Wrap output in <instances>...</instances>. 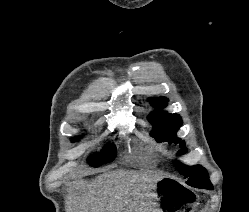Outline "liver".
Listing matches in <instances>:
<instances>
[{
	"mask_svg": "<svg viewBox=\"0 0 249 212\" xmlns=\"http://www.w3.org/2000/svg\"><path fill=\"white\" fill-rule=\"evenodd\" d=\"M161 178L143 172H107L96 180L74 182L68 200L69 212H147L148 198L139 196L147 192L148 184Z\"/></svg>",
	"mask_w": 249,
	"mask_h": 212,
	"instance_id": "6515ba94",
	"label": "liver"
}]
</instances>
